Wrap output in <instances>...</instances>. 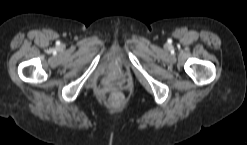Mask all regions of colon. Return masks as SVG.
<instances>
[{
  "instance_id": "5ec220e1",
  "label": "colon",
  "mask_w": 247,
  "mask_h": 145,
  "mask_svg": "<svg viewBox=\"0 0 247 145\" xmlns=\"http://www.w3.org/2000/svg\"><path fill=\"white\" fill-rule=\"evenodd\" d=\"M113 99H114V100H117V99H118V96H116V95L113 96Z\"/></svg>"
}]
</instances>
